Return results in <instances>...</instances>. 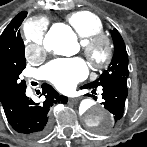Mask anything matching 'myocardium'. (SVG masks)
Segmentation results:
<instances>
[{"label": "myocardium", "instance_id": "obj_1", "mask_svg": "<svg viewBox=\"0 0 147 147\" xmlns=\"http://www.w3.org/2000/svg\"><path fill=\"white\" fill-rule=\"evenodd\" d=\"M82 48L89 61L97 67L106 65L112 57L113 47L104 34H95L82 42Z\"/></svg>", "mask_w": 147, "mask_h": 147}]
</instances>
